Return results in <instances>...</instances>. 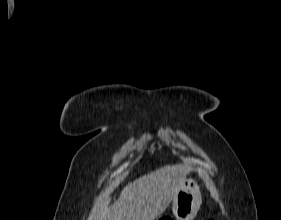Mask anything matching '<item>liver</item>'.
Segmentation results:
<instances>
[{
  "mask_svg": "<svg viewBox=\"0 0 281 220\" xmlns=\"http://www.w3.org/2000/svg\"><path fill=\"white\" fill-rule=\"evenodd\" d=\"M190 169L183 164L161 167L123 188L118 200L110 199L92 216V220H155L165 212Z\"/></svg>",
  "mask_w": 281,
  "mask_h": 220,
  "instance_id": "obj_1",
  "label": "liver"
}]
</instances>
